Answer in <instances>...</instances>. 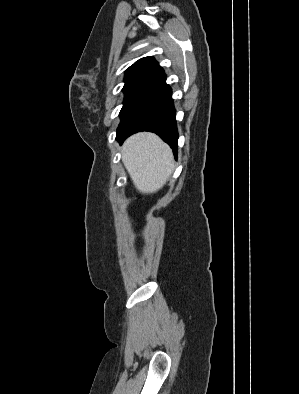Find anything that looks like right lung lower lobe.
I'll return each mask as SVG.
<instances>
[{"mask_svg":"<svg viewBox=\"0 0 299 394\" xmlns=\"http://www.w3.org/2000/svg\"><path fill=\"white\" fill-rule=\"evenodd\" d=\"M171 95L165 79L148 89L123 116L117 129V141L122 143L140 131L154 132L170 145L176 156L178 132Z\"/></svg>","mask_w":299,"mask_h":394,"instance_id":"98d812e1","label":"right lung lower lobe"}]
</instances>
